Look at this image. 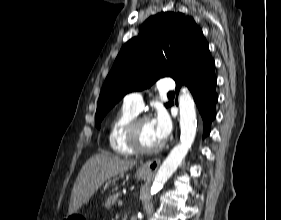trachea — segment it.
I'll return each mask as SVG.
<instances>
[{"label": "trachea", "instance_id": "3493384b", "mask_svg": "<svg viewBox=\"0 0 281 220\" xmlns=\"http://www.w3.org/2000/svg\"><path fill=\"white\" fill-rule=\"evenodd\" d=\"M173 94H174V92H169V93H168V95H173Z\"/></svg>", "mask_w": 281, "mask_h": 220}]
</instances>
